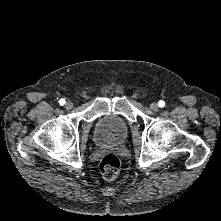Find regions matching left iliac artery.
Segmentation results:
<instances>
[{
  "label": "left iliac artery",
  "instance_id": "1",
  "mask_svg": "<svg viewBox=\"0 0 221 221\" xmlns=\"http://www.w3.org/2000/svg\"><path fill=\"white\" fill-rule=\"evenodd\" d=\"M158 104H159V107H164L165 102H164L163 100H160V101L158 102Z\"/></svg>",
  "mask_w": 221,
  "mask_h": 221
}]
</instances>
